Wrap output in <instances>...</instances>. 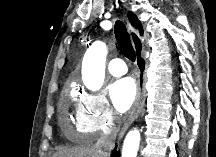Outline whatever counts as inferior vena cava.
I'll return each mask as SVG.
<instances>
[{
	"mask_svg": "<svg viewBox=\"0 0 216 157\" xmlns=\"http://www.w3.org/2000/svg\"><path fill=\"white\" fill-rule=\"evenodd\" d=\"M116 138L115 132L104 131L97 143L95 144V149L99 154V157H110L111 151L114 148V142Z\"/></svg>",
	"mask_w": 216,
	"mask_h": 157,
	"instance_id": "inferior-vena-cava-1",
	"label": "inferior vena cava"
}]
</instances>
